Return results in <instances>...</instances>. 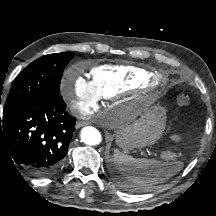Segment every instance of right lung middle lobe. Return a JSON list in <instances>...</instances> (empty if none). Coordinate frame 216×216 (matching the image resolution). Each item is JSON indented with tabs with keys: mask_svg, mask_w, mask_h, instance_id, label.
Here are the masks:
<instances>
[{
	"mask_svg": "<svg viewBox=\"0 0 216 216\" xmlns=\"http://www.w3.org/2000/svg\"><path fill=\"white\" fill-rule=\"evenodd\" d=\"M70 52L45 55L29 64L16 79L3 109V115L31 102L59 95L60 80Z\"/></svg>",
	"mask_w": 216,
	"mask_h": 216,
	"instance_id": "obj_1",
	"label": "right lung middle lobe"
}]
</instances>
